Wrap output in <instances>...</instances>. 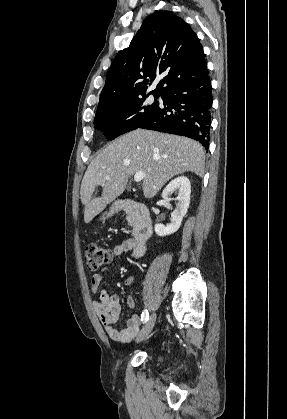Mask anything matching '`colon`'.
Instances as JSON below:
<instances>
[{
    "mask_svg": "<svg viewBox=\"0 0 287 419\" xmlns=\"http://www.w3.org/2000/svg\"><path fill=\"white\" fill-rule=\"evenodd\" d=\"M87 265L90 270H97L105 266L111 257V252L97 243L86 247Z\"/></svg>",
    "mask_w": 287,
    "mask_h": 419,
    "instance_id": "colon-1",
    "label": "colon"
}]
</instances>
